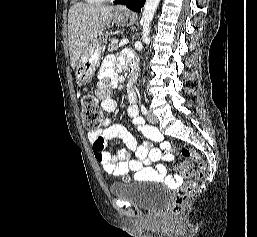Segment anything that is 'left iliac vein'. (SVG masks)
Returning a JSON list of instances; mask_svg holds the SVG:
<instances>
[{"mask_svg":"<svg viewBox=\"0 0 257 237\" xmlns=\"http://www.w3.org/2000/svg\"><path fill=\"white\" fill-rule=\"evenodd\" d=\"M147 119L152 124H156L158 122L157 117L152 112L148 113Z\"/></svg>","mask_w":257,"mask_h":237,"instance_id":"obj_1","label":"left iliac vein"}]
</instances>
